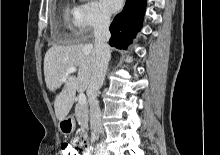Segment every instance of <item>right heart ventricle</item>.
I'll return each instance as SVG.
<instances>
[{"label":"right heart ventricle","instance_id":"e07e8e85","mask_svg":"<svg viewBox=\"0 0 220 155\" xmlns=\"http://www.w3.org/2000/svg\"><path fill=\"white\" fill-rule=\"evenodd\" d=\"M77 8L78 7L75 4L68 0L65 3L62 11V18L65 28L73 36L78 35V31L76 29Z\"/></svg>","mask_w":220,"mask_h":155}]
</instances>
